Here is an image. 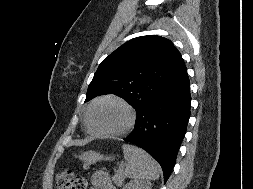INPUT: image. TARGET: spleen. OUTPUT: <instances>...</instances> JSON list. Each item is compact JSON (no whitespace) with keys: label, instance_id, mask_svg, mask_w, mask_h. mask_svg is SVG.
Wrapping results in <instances>:
<instances>
[{"label":"spleen","instance_id":"obj_1","mask_svg":"<svg viewBox=\"0 0 253 189\" xmlns=\"http://www.w3.org/2000/svg\"><path fill=\"white\" fill-rule=\"evenodd\" d=\"M122 149L127 161L125 176L138 180H156L159 178L161 168L146 151L130 144H123Z\"/></svg>","mask_w":253,"mask_h":189}]
</instances>
